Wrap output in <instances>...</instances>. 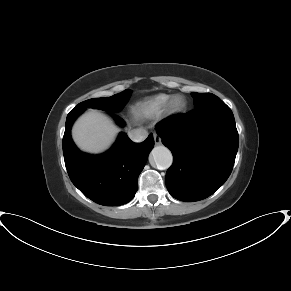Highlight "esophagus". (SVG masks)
Returning a JSON list of instances; mask_svg holds the SVG:
<instances>
[{
    "instance_id": "esophagus-1",
    "label": "esophagus",
    "mask_w": 291,
    "mask_h": 291,
    "mask_svg": "<svg viewBox=\"0 0 291 291\" xmlns=\"http://www.w3.org/2000/svg\"><path fill=\"white\" fill-rule=\"evenodd\" d=\"M153 138L156 145H159L161 143V139L157 134H153Z\"/></svg>"
}]
</instances>
